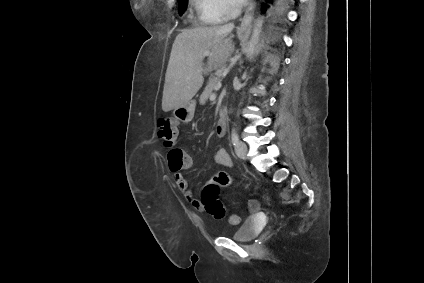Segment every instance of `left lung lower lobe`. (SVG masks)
I'll return each instance as SVG.
<instances>
[{
	"label": "left lung lower lobe",
	"instance_id": "obj_1",
	"mask_svg": "<svg viewBox=\"0 0 424 283\" xmlns=\"http://www.w3.org/2000/svg\"><path fill=\"white\" fill-rule=\"evenodd\" d=\"M282 1H283L284 4H286L289 0H282ZM266 8H267V6L263 5V8H262L263 12L266 10Z\"/></svg>",
	"mask_w": 424,
	"mask_h": 283
}]
</instances>
